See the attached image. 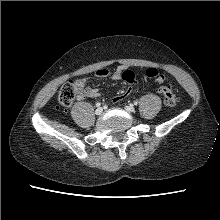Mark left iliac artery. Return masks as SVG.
Wrapping results in <instances>:
<instances>
[{
    "mask_svg": "<svg viewBox=\"0 0 220 220\" xmlns=\"http://www.w3.org/2000/svg\"><path fill=\"white\" fill-rule=\"evenodd\" d=\"M138 104V101H134V105H137Z\"/></svg>",
    "mask_w": 220,
    "mask_h": 220,
    "instance_id": "obj_1",
    "label": "left iliac artery"
}]
</instances>
